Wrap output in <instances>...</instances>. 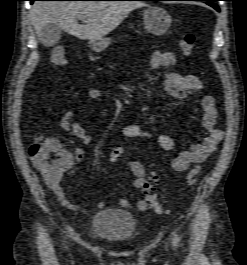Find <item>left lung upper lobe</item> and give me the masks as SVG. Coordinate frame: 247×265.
<instances>
[{"label": "left lung upper lobe", "mask_w": 247, "mask_h": 265, "mask_svg": "<svg viewBox=\"0 0 247 265\" xmlns=\"http://www.w3.org/2000/svg\"><path fill=\"white\" fill-rule=\"evenodd\" d=\"M203 1H218V0H203Z\"/></svg>", "instance_id": "left-lung-upper-lobe-1"}]
</instances>
